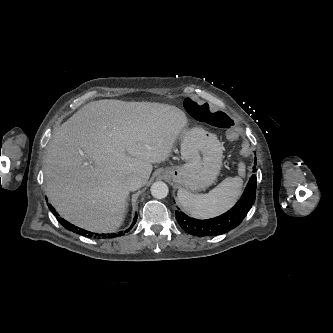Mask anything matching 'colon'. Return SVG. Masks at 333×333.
Wrapping results in <instances>:
<instances>
[{"mask_svg":"<svg viewBox=\"0 0 333 333\" xmlns=\"http://www.w3.org/2000/svg\"><path fill=\"white\" fill-rule=\"evenodd\" d=\"M184 106L188 113L198 121L226 131L229 129L234 130V123L231 117L223 111L212 109L208 103L187 98Z\"/></svg>","mask_w":333,"mask_h":333,"instance_id":"colon-1","label":"colon"}]
</instances>
